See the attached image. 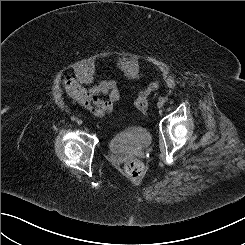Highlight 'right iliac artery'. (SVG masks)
Listing matches in <instances>:
<instances>
[{
    "mask_svg": "<svg viewBox=\"0 0 245 245\" xmlns=\"http://www.w3.org/2000/svg\"><path fill=\"white\" fill-rule=\"evenodd\" d=\"M71 120H72V121H75V120H76V117L72 116V117H71Z\"/></svg>",
    "mask_w": 245,
    "mask_h": 245,
    "instance_id": "obj_1",
    "label": "right iliac artery"
}]
</instances>
